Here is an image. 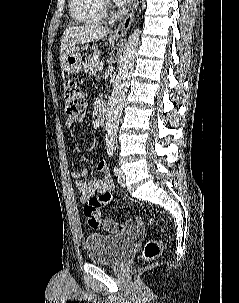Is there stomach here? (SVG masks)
I'll use <instances>...</instances> for the list:
<instances>
[{
  "label": "stomach",
  "instance_id": "0dacf381",
  "mask_svg": "<svg viewBox=\"0 0 239 303\" xmlns=\"http://www.w3.org/2000/svg\"><path fill=\"white\" fill-rule=\"evenodd\" d=\"M60 61L61 67L70 74H78L83 68L82 56L75 46L66 50L61 55Z\"/></svg>",
  "mask_w": 239,
  "mask_h": 303
}]
</instances>
